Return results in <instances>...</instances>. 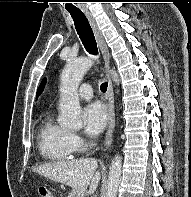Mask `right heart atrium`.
<instances>
[{"instance_id":"right-heart-atrium-1","label":"right heart atrium","mask_w":191,"mask_h":197,"mask_svg":"<svg viewBox=\"0 0 191 197\" xmlns=\"http://www.w3.org/2000/svg\"><path fill=\"white\" fill-rule=\"evenodd\" d=\"M68 142L73 151H82L87 146L85 140L75 132H68Z\"/></svg>"}]
</instances>
